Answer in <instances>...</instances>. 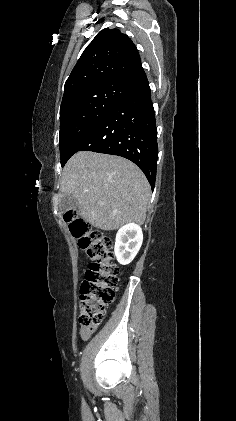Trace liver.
I'll return each mask as SVG.
<instances>
[{
  "mask_svg": "<svg viewBox=\"0 0 236 421\" xmlns=\"http://www.w3.org/2000/svg\"><path fill=\"white\" fill-rule=\"evenodd\" d=\"M60 190V196H74L80 217L102 231L129 223L142 225L151 196L150 184L134 162L91 150H80L69 158Z\"/></svg>",
  "mask_w": 236,
  "mask_h": 421,
  "instance_id": "6515ba94",
  "label": "liver"
}]
</instances>
